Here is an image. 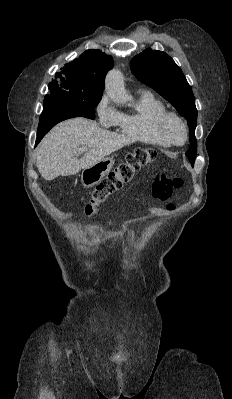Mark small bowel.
Wrapping results in <instances>:
<instances>
[{
    "label": "small bowel",
    "instance_id": "small-bowel-1",
    "mask_svg": "<svg viewBox=\"0 0 232 399\" xmlns=\"http://www.w3.org/2000/svg\"><path fill=\"white\" fill-rule=\"evenodd\" d=\"M152 211H153L154 213H156V212H157V209L154 208V209H152Z\"/></svg>",
    "mask_w": 232,
    "mask_h": 399
}]
</instances>
